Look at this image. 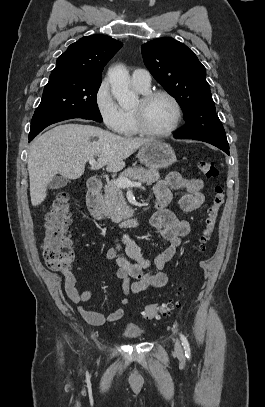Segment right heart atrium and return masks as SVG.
I'll use <instances>...</instances> for the list:
<instances>
[{
  "label": "right heart atrium",
  "instance_id": "1",
  "mask_svg": "<svg viewBox=\"0 0 265 407\" xmlns=\"http://www.w3.org/2000/svg\"><path fill=\"white\" fill-rule=\"evenodd\" d=\"M94 104L104 125L118 132L123 122L122 109L117 104L107 80H103L96 88Z\"/></svg>",
  "mask_w": 265,
  "mask_h": 407
}]
</instances>
